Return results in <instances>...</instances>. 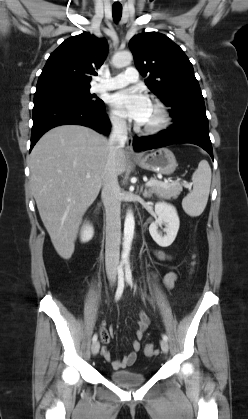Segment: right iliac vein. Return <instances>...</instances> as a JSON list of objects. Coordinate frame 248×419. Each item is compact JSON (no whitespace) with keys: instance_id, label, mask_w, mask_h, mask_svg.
<instances>
[{"instance_id":"right-iliac-vein-1","label":"right iliac vein","mask_w":248,"mask_h":419,"mask_svg":"<svg viewBox=\"0 0 248 419\" xmlns=\"http://www.w3.org/2000/svg\"><path fill=\"white\" fill-rule=\"evenodd\" d=\"M114 282H115L114 280H111L112 285L114 284ZM99 349H100V343L98 341L93 342L92 347H91L93 355H97L99 352Z\"/></svg>"}]
</instances>
